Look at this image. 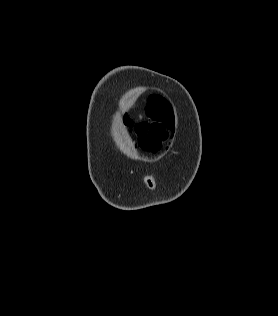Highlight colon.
<instances>
[{
  "label": "colon",
  "mask_w": 278,
  "mask_h": 316,
  "mask_svg": "<svg viewBox=\"0 0 278 316\" xmlns=\"http://www.w3.org/2000/svg\"><path fill=\"white\" fill-rule=\"evenodd\" d=\"M139 145L148 152H157L168 137L166 128L160 123H139L133 126Z\"/></svg>",
  "instance_id": "1"
}]
</instances>
